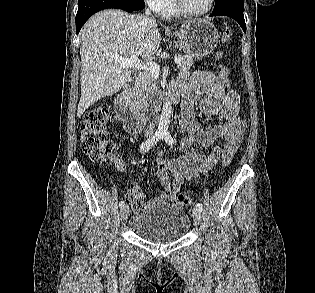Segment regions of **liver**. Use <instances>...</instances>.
I'll return each instance as SVG.
<instances>
[{
	"label": "liver",
	"instance_id": "obj_1",
	"mask_svg": "<svg viewBox=\"0 0 315 293\" xmlns=\"http://www.w3.org/2000/svg\"><path fill=\"white\" fill-rule=\"evenodd\" d=\"M161 41L158 24L144 15L104 10L93 15L81 30V98L78 116L106 96L117 93L131 72L116 58L149 59Z\"/></svg>",
	"mask_w": 315,
	"mask_h": 293
}]
</instances>
